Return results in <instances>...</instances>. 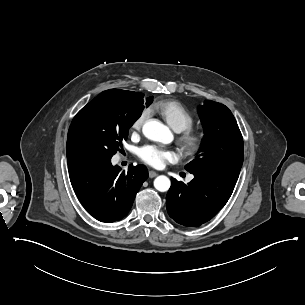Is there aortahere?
<instances>
[{
  "label": "aorta",
  "instance_id": "obj_1",
  "mask_svg": "<svg viewBox=\"0 0 305 305\" xmlns=\"http://www.w3.org/2000/svg\"><path fill=\"white\" fill-rule=\"evenodd\" d=\"M143 134L152 141L165 142L170 136L171 132L164 124L158 120H149L143 125ZM171 182L167 176L160 175L154 180V187L160 192L169 190Z\"/></svg>",
  "mask_w": 305,
  "mask_h": 305
}]
</instances>
